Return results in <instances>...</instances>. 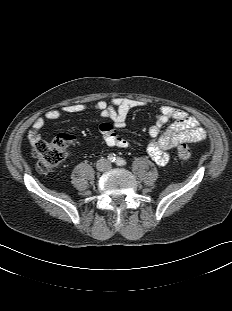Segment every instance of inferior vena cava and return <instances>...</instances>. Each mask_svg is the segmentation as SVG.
<instances>
[{"label": "inferior vena cava", "instance_id": "602c4592", "mask_svg": "<svg viewBox=\"0 0 232 311\" xmlns=\"http://www.w3.org/2000/svg\"><path fill=\"white\" fill-rule=\"evenodd\" d=\"M96 167L99 171H106L110 169L111 164L108 160L101 158L97 161Z\"/></svg>", "mask_w": 232, "mask_h": 311}]
</instances>
